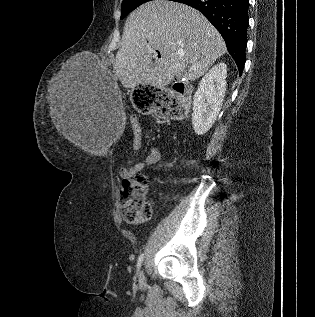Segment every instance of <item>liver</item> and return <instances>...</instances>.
I'll return each mask as SVG.
<instances>
[{
    "label": "liver",
    "instance_id": "liver-1",
    "mask_svg": "<svg viewBox=\"0 0 315 317\" xmlns=\"http://www.w3.org/2000/svg\"><path fill=\"white\" fill-rule=\"evenodd\" d=\"M226 50L220 33L199 11L168 0H154L127 18L113 68L125 88L140 84L163 88L174 78L195 81ZM156 51L161 58L153 63ZM71 94L64 81L51 96L50 115L58 132L84 147L81 120ZM117 111L123 118L122 107Z\"/></svg>",
    "mask_w": 315,
    "mask_h": 317
}]
</instances>
